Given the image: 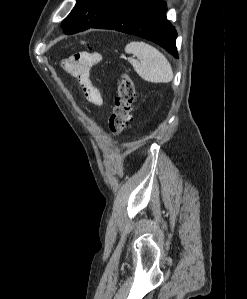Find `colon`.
<instances>
[{"instance_id": "colon-1", "label": "colon", "mask_w": 247, "mask_h": 299, "mask_svg": "<svg viewBox=\"0 0 247 299\" xmlns=\"http://www.w3.org/2000/svg\"><path fill=\"white\" fill-rule=\"evenodd\" d=\"M84 45H87L83 43ZM135 97V86L132 79L123 74L114 100V108L109 118L108 128L115 136L122 135L130 125L131 108Z\"/></svg>"}]
</instances>
